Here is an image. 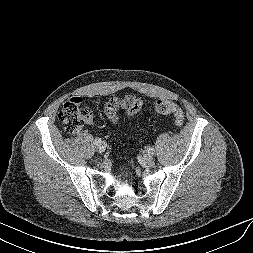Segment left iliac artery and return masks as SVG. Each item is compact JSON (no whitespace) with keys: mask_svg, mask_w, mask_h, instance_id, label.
Masks as SVG:
<instances>
[{"mask_svg":"<svg viewBox=\"0 0 253 253\" xmlns=\"http://www.w3.org/2000/svg\"><path fill=\"white\" fill-rule=\"evenodd\" d=\"M147 150L150 151V152H152V153L155 152L154 148H152V147H149Z\"/></svg>","mask_w":253,"mask_h":253,"instance_id":"left-iliac-artery-1","label":"left iliac artery"}]
</instances>
